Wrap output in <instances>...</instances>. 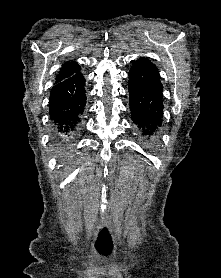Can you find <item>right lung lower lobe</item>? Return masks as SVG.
I'll list each match as a JSON object with an SVG mask.
<instances>
[{"instance_id": "right-lung-lower-lobe-1", "label": "right lung lower lobe", "mask_w": 221, "mask_h": 278, "mask_svg": "<svg viewBox=\"0 0 221 278\" xmlns=\"http://www.w3.org/2000/svg\"><path fill=\"white\" fill-rule=\"evenodd\" d=\"M85 79L79 72L52 87L49 112L55 138L66 144L78 132L86 103Z\"/></svg>"}]
</instances>
